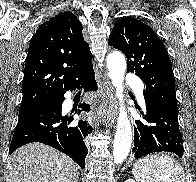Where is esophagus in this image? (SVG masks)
<instances>
[{
    "mask_svg": "<svg viewBox=\"0 0 196 182\" xmlns=\"http://www.w3.org/2000/svg\"><path fill=\"white\" fill-rule=\"evenodd\" d=\"M102 97L106 104L110 106L109 111L106 113L104 117V122L107 124H110L114 122V119L116 118V111L114 109V95L111 83L109 79L104 76L102 81Z\"/></svg>",
    "mask_w": 196,
    "mask_h": 182,
    "instance_id": "1",
    "label": "esophagus"
}]
</instances>
